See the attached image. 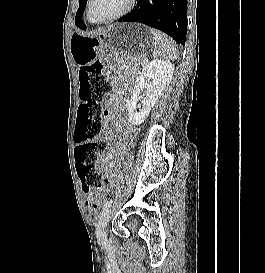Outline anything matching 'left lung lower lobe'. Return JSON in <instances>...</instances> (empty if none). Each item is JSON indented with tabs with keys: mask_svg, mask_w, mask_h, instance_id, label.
<instances>
[{
	"mask_svg": "<svg viewBox=\"0 0 265 273\" xmlns=\"http://www.w3.org/2000/svg\"><path fill=\"white\" fill-rule=\"evenodd\" d=\"M187 0H138L137 6L119 22H138L159 29L178 44H185ZM80 29H85V25Z\"/></svg>",
	"mask_w": 265,
	"mask_h": 273,
	"instance_id": "1",
	"label": "left lung lower lobe"
}]
</instances>
